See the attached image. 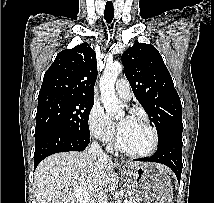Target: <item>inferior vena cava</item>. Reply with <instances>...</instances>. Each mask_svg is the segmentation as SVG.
Listing matches in <instances>:
<instances>
[{
  "label": "inferior vena cava",
  "instance_id": "1",
  "mask_svg": "<svg viewBox=\"0 0 214 203\" xmlns=\"http://www.w3.org/2000/svg\"><path fill=\"white\" fill-rule=\"evenodd\" d=\"M88 153L90 154V156L96 158H100V159H104L107 160L109 159V157L107 156V154H105L101 148V146L93 141L92 144L90 145L89 149H88ZM95 203H107V197L105 194H101V196L99 197V199L95 200Z\"/></svg>",
  "mask_w": 214,
  "mask_h": 203
}]
</instances>
